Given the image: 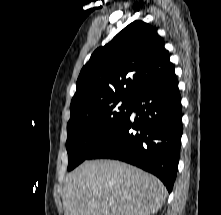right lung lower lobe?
I'll return each instance as SVG.
<instances>
[{
  "label": "right lung lower lobe",
  "mask_w": 221,
  "mask_h": 215,
  "mask_svg": "<svg viewBox=\"0 0 221 215\" xmlns=\"http://www.w3.org/2000/svg\"><path fill=\"white\" fill-rule=\"evenodd\" d=\"M181 97L175 73L140 92L131 111L87 159H116L157 176L172 191L181 136ZM135 112L137 117H133Z\"/></svg>",
  "instance_id": "98d812e1"
}]
</instances>
